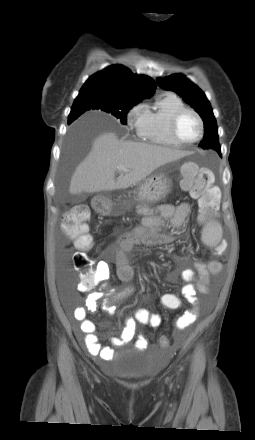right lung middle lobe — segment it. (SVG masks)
<instances>
[{
    "instance_id": "right-lung-middle-lobe-1",
    "label": "right lung middle lobe",
    "mask_w": 255,
    "mask_h": 440,
    "mask_svg": "<svg viewBox=\"0 0 255 440\" xmlns=\"http://www.w3.org/2000/svg\"><path fill=\"white\" fill-rule=\"evenodd\" d=\"M138 102L107 99L93 94L78 95L75 99L69 118L77 119L87 110H101L118 118L122 124H127L128 111Z\"/></svg>"
}]
</instances>
